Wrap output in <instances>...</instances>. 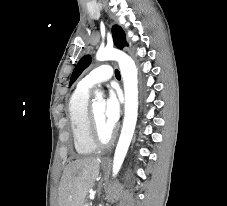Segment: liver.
Listing matches in <instances>:
<instances>
[{
  "mask_svg": "<svg viewBox=\"0 0 227 206\" xmlns=\"http://www.w3.org/2000/svg\"><path fill=\"white\" fill-rule=\"evenodd\" d=\"M99 157H83L64 169L59 185V206H83L89 189L98 177Z\"/></svg>",
  "mask_w": 227,
  "mask_h": 206,
  "instance_id": "obj_1",
  "label": "liver"
}]
</instances>
